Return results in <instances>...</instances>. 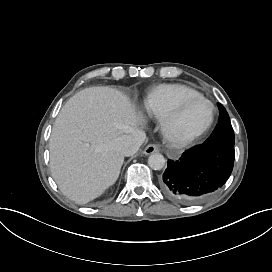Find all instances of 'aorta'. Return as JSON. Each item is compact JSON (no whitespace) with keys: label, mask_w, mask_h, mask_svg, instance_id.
I'll list each match as a JSON object with an SVG mask.
<instances>
[{"label":"aorta","mask_w":272,"mask_h":272,"mask_svg":"<svg viewBox=\"0 0 272 272\" xmlns=\"http://www.w3.org/2000/svg\"><path fill=\"white\" fill-rule=\"evenodd\" d=\"M148 165L153 170H161L165 166V159L160 153H155L148 158Z\"/></svg>","instance_id":"aorta-1"}]
</instances>
